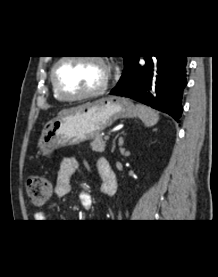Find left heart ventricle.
I'll list each match as a JSON object with an SVG mask.
<instances>
[{
	"label": "left heart ventricle",
	"instance_id": "b2bd125f",
	"mask_svg": "<svg viewBox=\"0 0 218 277\" xmlns=\"http://www.w3.org/2000/svg\"><path fill=\"white\" fill-rule=\"evenodd\" d=\"M104 76L101 65L85 59H68L57 68L59 86L67 95H80L97 89Z\"/></svg>",
	"mask_w": 218,
	"mask_h": 277
}]
</instances>
